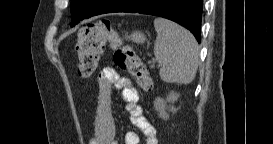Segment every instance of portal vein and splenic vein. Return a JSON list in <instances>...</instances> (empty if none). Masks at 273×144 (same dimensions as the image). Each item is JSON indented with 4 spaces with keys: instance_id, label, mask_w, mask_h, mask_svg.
Segmentation results:
<instances>
[{
    "instance_id": "1",
    "label": "portal vein and splenic vein",
    "mask_w": 273,
    "mask_h": 144,
    "mask_svg": "<svg viewBox=\"0 0 273 144\" xmlns=\"http://www.w3.org/2000/svg\"><path fill=\"white\" fill-rule=\"evenodd\" d=\"M155 63H153L151 66L153 67Z\"/></svg>"
}]
</instances>
